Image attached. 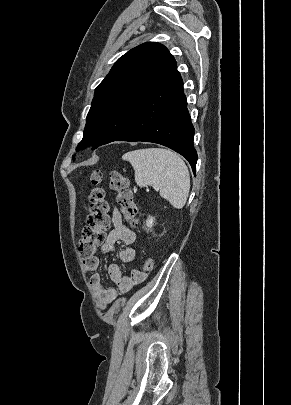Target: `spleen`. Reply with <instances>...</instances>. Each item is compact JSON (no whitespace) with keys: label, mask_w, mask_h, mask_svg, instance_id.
Masks as SVG:
<instances>
[{"label":"spleen","mask_w":291,"mask_h":405,"mask_svg":"<svg viewBox=\"0 0 291 405\" xmlns=\"http://www.w3.org/2000/svg\"><path fill=\"white\" fill-rule=\"evenodd\" d=\"M122 159L133 166L138 186L151 185L174 208H183L189 195L190 176L177 154L163 148H146L127 152Z\"/></svg>","instance_id":"1"}]
</instances>
